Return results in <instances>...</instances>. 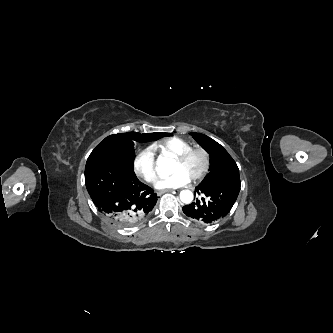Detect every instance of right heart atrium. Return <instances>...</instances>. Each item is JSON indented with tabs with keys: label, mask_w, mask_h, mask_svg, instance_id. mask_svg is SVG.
Segmentation results:
<instances>
[{
	"label": "right heart atrium",
	"mask_w": 333,
	"mask_h": 333,
	"mask_svg": "<svg viewBox=\"0 0 333 333\" xmlns=\"http://www.w3.org/2000/svg\"><path fill=\"white\" fill-rule=\"evenodd\" d=\"M135 173L148 183L156 181L155 154L151 147H146L137 152L133 159Z\"/></svg>",
	"instance_id": "1"
}]
</instances>
